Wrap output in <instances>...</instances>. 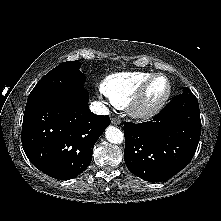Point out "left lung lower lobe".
<instances>
[{
  "instance_id": "0a47b994",
  "label": "left lung lower lobe",
  "mask_w": 221,
  "mask_h": 221,
  "mask_svg": "<svg viewBox=\"0 0 221 221\" xmlns=\"http://www.w3.org/2000/svg\"><path fill=\"white\" fill-rule=\"evenodd\" d=\"M201 120L192 93L174 97L150 122L124 125V161L136 176L150 182L165 180L193 158Z\"/></svg>"
}]
</instances>
